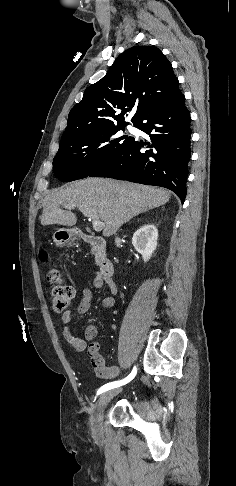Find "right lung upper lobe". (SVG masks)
<instances>
[{
  "label": "right lung upper lobe",
  "mask_w": 236,
  "mask_h": 486,
  "mask_svg": "<svg viewBox=\"0 0 236 486\" xmlns=\"http://www.w3.org/2000/svg\"><path fill=\"white\" fill-rule=\"evenodd\" d=\"M182 95L171 63L155 46H134L119 55L107 74L84 92L70 111L61 143L127 124L125 112L136 105L133 124L150 106ZM121 109L122 113L117 114ZM60 143V144H61Z\"/></svg>",
  "instance_id": "obj_1"
}]
</instances>
